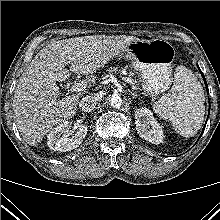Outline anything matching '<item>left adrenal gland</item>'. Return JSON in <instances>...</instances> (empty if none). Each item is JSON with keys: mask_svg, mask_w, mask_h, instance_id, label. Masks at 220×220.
<instances>
[{"mask_svg": "<svg viewBox=\"0 0 220 220\" xmlns=\"http://www.w3.org/2000/svg\"><path fill=\"white\" fill-rule=\"evenodd\" d=\"M130 92H131L132 98H136L138 96L136 92H132V91Z\"/></svg>", "mask_w": 220, "mask_h": 220, "instance_id": "left-adrenal-gland-1", "label": "left adrenal gland"}]
</instances>
